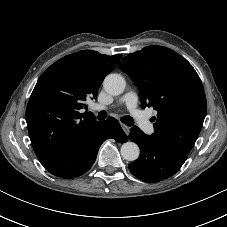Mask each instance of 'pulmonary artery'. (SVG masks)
<instances>
[{"label": "pulmonary artery", "instance_id": "1", "mask_svg": "<svg viewBox=\"0 0 227 227\" xmlns=\"http://www.w3.org/2000/svg\"><path fill=\"white\" fill-rule=\"evenodd\" d=\"M120 103L124 104L127 109L138 119L140 127L143 131L147 134H151L153 132V125L151 122L146 118L144 113L137 108L138 104V96L134 91H128L125 93L121 99L119 100ZM106 107L103 105H97V110L105 109Z\"/></svg>", "mask_w": 227, "mask_h": 227}]
</instances>
